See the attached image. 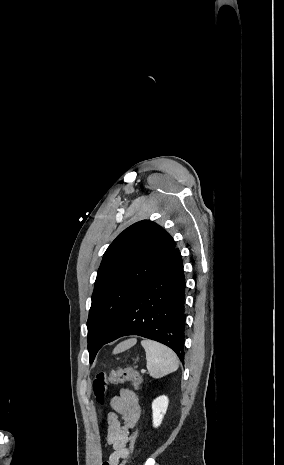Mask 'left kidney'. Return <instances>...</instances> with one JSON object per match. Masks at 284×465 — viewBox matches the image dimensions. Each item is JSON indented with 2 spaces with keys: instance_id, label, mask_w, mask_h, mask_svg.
Segmentation results:
<instances>
[{
  "instance_id": "left-kidney-1",
  "label": "left kidney",
  "mask_w": 284,
  "mask_h": 465,
  "mask_svg": "<svg viewBox=\"0 0 284 465\" xmlns=\"http://www.w3.org/2000/svg\"><path fill=\"white\" fill-rule=\"evenodd\" d=\"M169 399L162 395V397H157L152 403L153 411V427H160L163 417L168 409Z\"/></svg>"
}]
</instances>
